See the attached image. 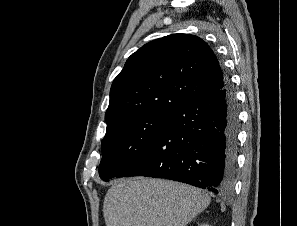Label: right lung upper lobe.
Wrapping results in <instances>:
<instances>
[{
    "instance_id": "right-lung-upper-lobe-1",
    "label": "right lung upper lobe",
    "mask_w": 297,
    "mask_h": 226,
    "mask_svg": "<svg viewBox=\"0 0 297 226\" xmlns=\"http://www.w3.org/2000/svg\"><path fill=\"white\" fill-rule=\"evenodd\" d=\"M227 76L205 41L171 34L133 53L114 79L107 126L137 114L174 111L182 103L222 89Z\"/></svg>"
}]
</instances>
